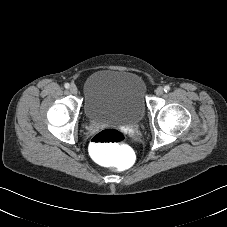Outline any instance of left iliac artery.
<instances>
[{
  "instance_id": "obj_1",
  "label": "left iliac artery",
  "mask_w": 227,
  "mask_h": 227,
  "mask_svg": "<svg viewBox=\"0 0 227 227\" xmlns=\"http://www.w3.org/2000/svg\"><path fill=\"white\" fill-rule=\"evenodd\" d=\"M164 91L165 92H169L170 91V86L169 85L164 86Z\"/></svg>"
}]
</instances>
